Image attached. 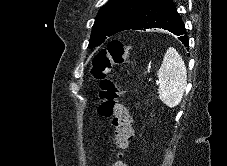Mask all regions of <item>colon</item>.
Returning a JSON list of instances; mask_svg holds the SVG:
<instances>
[{
	"instance_id": "5ec220e1",
	"label": "colon",
	"mask_w": 227,
	"mask_h": 166,
	"mask_svg": "<svg viewBox=\"0 0 227 166\" xmlns=\"http://www.w3.org/2000/svg\"><path fill=\"white\" fill-rule=\"evenodd\" d=\"M123 63L136 64L137 60L121 41L111 40L106 48L98 51L94 56L91 67L93 78L101 85L98 113L111 118L114 127L112 140L116 159L109 166H125L122 157L133 134L131 114L120 101L123 88L115 79L108 77L114 65Z\"/></svg>"
}]
</instances>
